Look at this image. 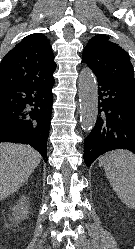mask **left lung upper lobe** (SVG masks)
<instances>
[{"mask_svg": "<svg viewBox=\"0 0 135 249\" xmlns=\"http://www.w3.org/2000/svg\"><path fill=\"white\" fill-rule=\"evenodd\" d=\"M109 36L92 37L82 54V63L93 71L97 78L135 88L133 66L129 54Z\"/></svg>", "mask_w": 135, "mask_h": 249, "instance_id": "1", "label": "left lung upper lobe"}]
</instances>
